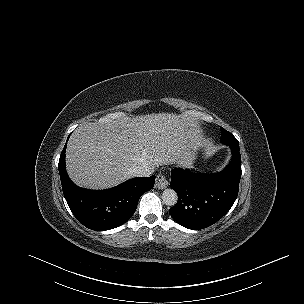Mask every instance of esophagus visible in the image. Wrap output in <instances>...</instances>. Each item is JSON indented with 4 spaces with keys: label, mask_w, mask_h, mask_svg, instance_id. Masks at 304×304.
<instances>
[{
    "label": "esophagus",
    "mask_w": 304,
    "mask_h": 304,
    "mask_svg": "<svg viewBox=\"0 0 304 304\" xmlns=\"http://www.w3.org/2000/svg\"><path fill=\"white\" fill-rule=\"evenodd\" d=\"M168 186L167 177L163 174H159L155 180V187L158 189H165Z\"/></svg>",
    "instance_id": "34e87169"
}]
</instances>
